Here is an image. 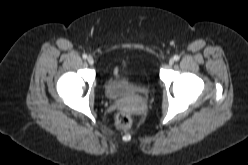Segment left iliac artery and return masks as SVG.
<instances>
[{"instance_id":"1","label":"left iliac artery","mask_w":248,"mask_h":165,"mask_svg":"<svg viewBox=\"0 0 248 165\" xmlns=\"http://www.w3.org/2000/svg\"><path fill=\"white\" fill-rule=\"evenodd\" d=\"M179 58H180V57H179L178 55H175V56H174V60H176V61L179 60Z\"/></svg>"}]
</instances>
